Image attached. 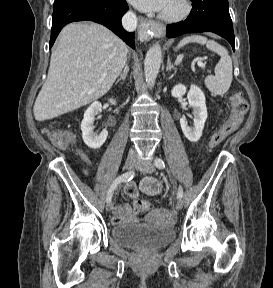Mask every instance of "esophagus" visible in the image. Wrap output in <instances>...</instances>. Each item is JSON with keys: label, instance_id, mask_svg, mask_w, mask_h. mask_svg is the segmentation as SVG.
<instances>
[{"label": "esophagus", "instance_id": "34e87169", "mask_svg": "<svg viewBox=\"0 0 273 288\" xmlns=\"http://www.w3.org/2000/svg\"><path fill=\"white\" fill-rule=\"evenodd\" d=\"M139 24V35L142 39H147L150 33L155 36H162L165 33L164 25L145 17H139Z\"/></svg>", "mask_w": 273, "mask_h": 288}]
</instances>
